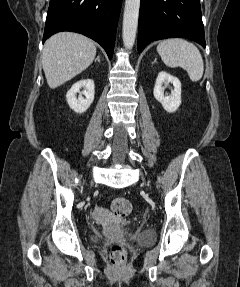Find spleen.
I'll return each mask as SVG.
<instances>
[{"label": "spleen", "mask_w": 240, "mask_h": 287, "mask_svg": "<svg viewBox=\"0 0 240 287\" xmlns=\"http://www.w3.org/2000/svg\"><path fill=\"white\" fill-rule=\"evenodd\" d=\"M157 52L166 66L186 70L191 81L197 82L202 78L203 59L193 43L180 38L165 39L158 44Z\"/></svg>", "instance_id": "3e777b00"}]
</instances>
